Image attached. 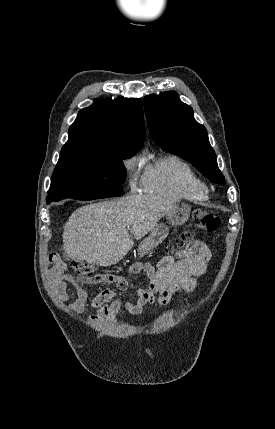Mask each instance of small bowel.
<instances>
[{
  "label": "small bowel",
  "mask_w": 275,
  "mask_h": 429,
  "mask_svg": "<svg viewBox=\"0 0 275 429\" xmlns=\"http://www.w3.org/2000/svg\"><path fill=\"white\" fill-rule=\"evenodd\" d=\"M208 247L200 241L188 245L175 255L163 257L156 267L150 263L136 262L129 267L131 273L143 272L148 280L145 287L136 290L134 300L123 301L113 290H103L88 304V294L82 288L84 284L109 283L120 290L127 287L122 274H102L95 278H75L66 273V265L57 260L53 272L52 289L55 297L61 301L68 299L66 283L74 286L76 300L68 307L75 313H81L87 305L97 313L90 317L94 321L116 322V314L124 308L127 312L141 314L146 307L157 303L166 305L174 294H190L196 289L194 277L203 275L210 261Z\"/></svg>",
  "instance_id": "1"
}]
</instances>
